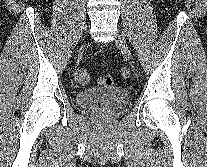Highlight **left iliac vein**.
Wrapping results in <instances>:
<instances>
[{"label":"left iliac vein","mask_w":207,"mask_h":167,"mask_svg":"<svg viewBox=\"0 0 207 167\" xmlns=\"http://www.w3.org/2000/svg\"><path fill=\"white\" fill-rule=\"evenodd\" d=\"M115 43L124 52L127 58L132 59L131 51L122 36H118L115 40Z\"/></svg>","instance_id":"4c4485c4"}]
</instances>
